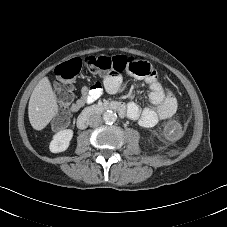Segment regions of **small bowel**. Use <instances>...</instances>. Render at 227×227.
Instances as JSON below:
<instances>
[{"instance_id": "1", "label": "small bowel", "mask_w": 227, "mask_h": 227, "mask_svg": "<svg viewBox=\"0 0 227 227\" xmlns=\"http://www.w3.org/2000/svg\"><path fill=\"white\" fill-rule=\"evenodd\" d=\"M149 86L150 106L141 109L140 106L131 102L127 106V116L132 120H138L144 128L154 127L160 120H165L174 115L177 109V99L171 92L164 91L155 75L141 77ZM104 89L110 94H118L124 89V83L121 77H109L104 81ZM101 86H86L81 88L80 98L70 106L75 111L80 107L96 101L102 94Z\"/></svg>"}]
</instances>
